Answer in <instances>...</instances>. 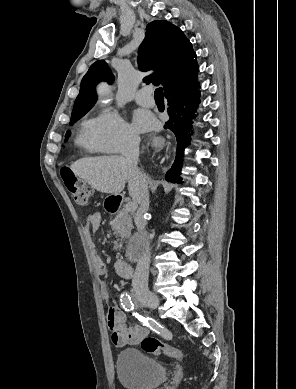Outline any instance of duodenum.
<instances>
[{
  "label": "duodenum",
  "instance_id": "1",
  "mask_svg": "<svg viewBox=\"0 0 296 389\" xmlns=\"http://www.w3.org/2000/svg\"><path fill=\"white\" fill-rule=\"evenodd\" d=\"M121 206V199H112L107 206V210L111 213L118 211ZM115 270L120 277L130 278L132 276V267L125 261H118L115 263Z\"/></svg>",
  "mask_w": 296,
  "mask_h": 389
}]
</instances>
